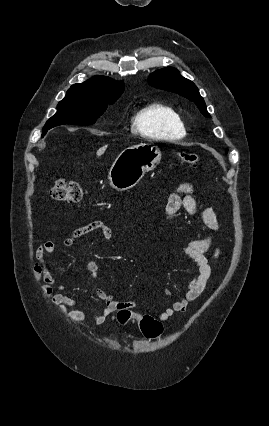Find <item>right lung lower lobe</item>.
Wrapping results in <instances>:
<instances>
[{
    "label": "right lung lower lobe",
    "instance_id": "98d812e1",
    "mask_svg": "<svg viewBox=\"0 0 269 426\" xmlns=\"http://www.w3.org/2000/svg\"><path fill=\"white\" fill-rule=\"evenodd\" d=\"M46 132H47V131H43V132H42V136H44V135L46 134Z\"/></svg>",
    "mask_w": 269,
    "mask_h": 426
}]
</instances>
